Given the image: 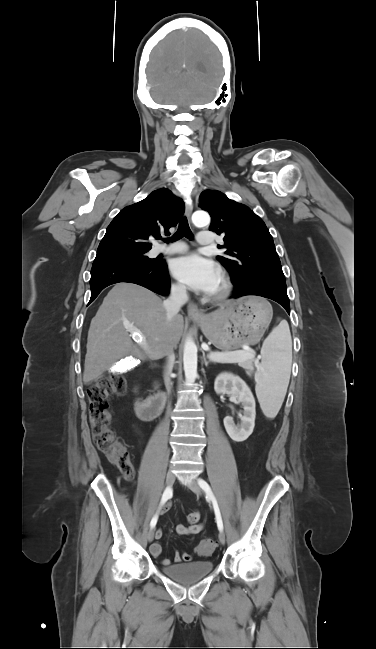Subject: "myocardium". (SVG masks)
Masks as SVG:
<instances>
[{
    "label": "myocardium",
    "mask_w": 376,
    "mask_h": 649,
    "mask_svg": "<svg viewBox=\"0 0 376 649\" xmlns=\"http://www.w3.org/2000/svg\"><path fill=\"white\" fill-rule=\"evenodd\" d=\"M231 289L232 285L229 277L226 275V273L222 272L220 274V286L211 294L210 299L213 302H221L229 296Z\"/></svg>",
    "instance_id": "myocardium-1"
}]
</instances>
